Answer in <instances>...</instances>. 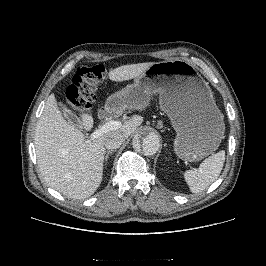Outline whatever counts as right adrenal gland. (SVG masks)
<instances>
[{
	"instance_id": "obj_1",
	"label": "right adrenal gland",
	"mask_w": 266,
	"mask_h": 266,
	"mask_svg": "<svg viewBox=\"0 0 266 266\" xmlns=\"http://www.w3.org/2000/svg\"><path fill=\"white\" fill-rule=\"evenodd\" d=\"M113 152H115V150H109V151H107V154L105 156V162H107V160L109 158V155L112 154Z\"/></svg>"
}]
</instances>
